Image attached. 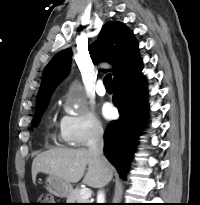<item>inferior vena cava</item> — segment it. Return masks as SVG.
Returning a JSON list of instances; mask_svg holds the SVG:
<instances>
[{
    "label": "inferior vena cava",
    "mask_w": 200,
    "mask_h": 205,
    "mask_svg": "<svg viewBox=\"0 0 200 205\" xmlns=\"http://www.w3.org/2000/svg\"><path fill=\"white\" fill-rule=\"evenodd\" d=\"M88 151L90 154L94 155L95 157L102 158L103 157V128L99 124L93 125L90 137L87 142ZM97 200L99 203H104L105 195L102 190H99L97 195Z\"/></svg>",
    "instance_id": "inferior-vena-cava-1"
}]
</instances>
